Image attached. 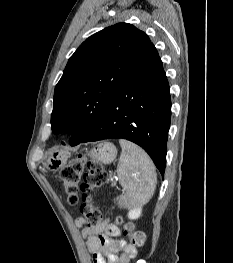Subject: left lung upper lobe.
<instances>
[{
    "label": "left lung upper lobe",
    "instance_id": "1",
    "mask_svg": "<svg viewBox=\"0 0 233 263\" xmlns=\"http://www.w3.org/2000/svg\"><path fill=\"white\" fill-rule=\"evenodd\" d=\"M151 45L144 32L128 23L107 27L84 41L55 87L53 133L71 128L70 142H81Z\"/></svg>",
    "mask_w": 233,
    "mask_h": 263
}]
</instances>
